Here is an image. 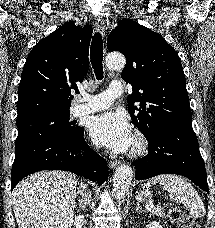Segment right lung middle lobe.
<instances>
[{"label":"right lung middle lobe","mask_w":215,"mask_h":228,"mask_svg":"<svg viewBox=\"0 0 215 228\" xmlns=\"http://www.w3.org/2000/svg\"><path fill=\"white\" fill-rule=\"evenodd\" d=\"M70 112L37 116L17 122L18 136L15 146L48 136L77 138L83 128L69 122Z\"/></svg>","instance_id":"obj_1"}]
</instances>
